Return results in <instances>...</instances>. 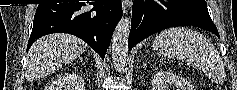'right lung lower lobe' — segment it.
I'll list each match as a JSON object with an SVG mask.
<instances>
[{
    "label": "right lung lower lobe",
    "mask_w": 237,
    "mask_h": 90,
    "mask_svg": "<svg viewBox=\"0 0 237 90\" xmlns=\"http://www.w3.org/2000/svg\"><path fill=\"white\" fill-rule=\"evenodd\" d=\"M121 17V0L39 4L27 51L44 35L69 33L84 40L103 59Z\"/></svg>",
    "instance_id": "1"
}]
</instances>
